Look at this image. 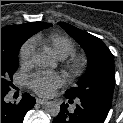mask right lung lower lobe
<instances>
[{"instance_id":"1","label":"right lung lower lobe","mask_w":123,"mask_h":123,"mask_svg":"<svg viewBox=\"0 0 123 123\" xmlns=\"http://www.w3.org/2000/svg\"><path fill=\"white\" fill-rule=\"evenodd\" d=\"M7 93L1 91V123H23L25 114L36 103L35 98L25 93L18 104L6 103L4 98Z\"/></svg>"}]
</instances>
